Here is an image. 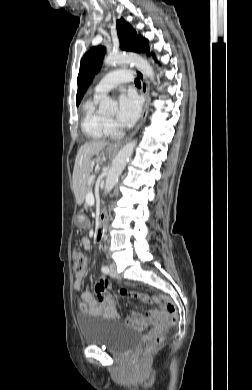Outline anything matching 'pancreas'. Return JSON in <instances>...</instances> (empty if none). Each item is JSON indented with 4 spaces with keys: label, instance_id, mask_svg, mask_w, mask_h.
I'll return each mask as SVG.
<instances>
[{
    "label": "pancreas",
    "instance_id": "cf45deb5",
    "mask_svg": "<svg viewBox=\"0 0 252 390\" xmlns=\"http://www.w3.org/2000/svg\"><path fill=\"white\" fill-rule=\"evenodd\" d=\"M88 192H89V191H88ZM81 205H82V209H83V210H86L87 207H88V204H87L85 201H82V202H81Z\"/></svg>",
    "mask_w": 252,
    "mask_h": 390
}]
</instances>
